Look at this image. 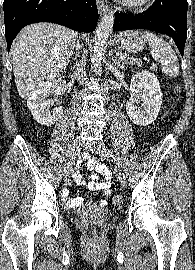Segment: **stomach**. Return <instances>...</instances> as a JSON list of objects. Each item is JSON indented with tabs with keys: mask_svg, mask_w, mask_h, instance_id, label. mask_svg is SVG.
<instances>
[{
	"mask_svg": "<svg viewBox=\"0 0 195 270\" xmlns=\"http://www.w3.org/2000/svg\"><path fill=\"white\" fill-rule=\"evenodd\" d=\"M118 38L121 46L128 52L136 53L141 51L146 43L144 35L137 30L124 31L119 33Z\"/></svg>",
	"mask_w": 195,
	"mask_h": 270,
	"instance_id": "0dacf381",
	"label": "stomach"
}]
</instances>
